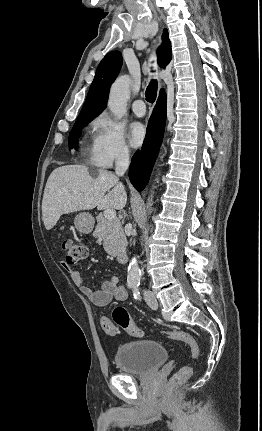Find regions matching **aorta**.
<instances>
[{
    "label": "aorta",
    "mask_w": 262,
    "mask_h": 431,
    "mask_svg": "<svg viewBox=\"0 0 262 431\" xmlns=\"http://www.w3.org/2000/svg\"><path fill=\"white\" fill-rule=\"evenodd\" d=\"M130 82L128 75H123L116 79L109 92L108 107L117 119H121L127 113V101L130 96ZM153 194L148 198L147 209L152 206ZM141 279V270L137 257L134 256L128 266L127 281L132 285H137Z\"/></svg>",
    "instance_id": "1"
}]
</instances>
